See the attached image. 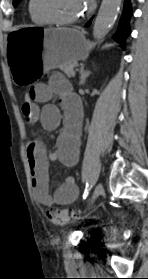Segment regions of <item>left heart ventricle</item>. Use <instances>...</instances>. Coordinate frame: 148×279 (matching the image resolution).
Returning a JSON list of instances; mask_svg holds the SVG:
<instances>
[{"label": "left heart ventricle", "mask_w": 148, "mask_h": 279, "mask_svg": "<svg viewBox=\"0 0 148 279\" xmlns=\"http://www.w3.org/2000/svg\"><path fill=\"white\" fill-rule=\"evenodd\" d=\"M40 8L61 18L80 16L83 7L80 0H39Z\"/></svg>", "instance_id": "obj_1"}]
</instances>
